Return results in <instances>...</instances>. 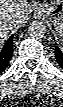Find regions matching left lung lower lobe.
<instances>
[{
    "instance_id": "0a47b994",
    "label": "left lung lower lobe",
    "mask_w": 63,
    "mask_h": 107,
    "mask_svg": "<svg viewBox=\"0 0 63 107\" xmlns=\"http://www.w3.org/2000/svg\"><path fill=\"white\" fill-rule=\"evenodd\" d=\"M55 58L58 64L63 68V52L60 51L58 46H55Z\"/></svg>"
}]
</instances>
